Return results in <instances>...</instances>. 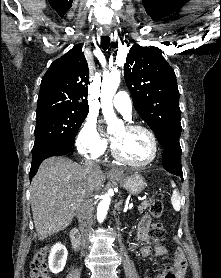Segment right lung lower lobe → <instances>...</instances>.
Segmentation results:
<instances>
[{"label":"right lung lower lobe","instance_id":"right-lung-lower-lobe-1","mask_svg":"<svg viewBox=\"0 0 221 278\" xmlns=\"http://www.w3.org/2000/svg\"><path fill=\"white\" fill-rule=\"evenodd\" d=\"M74 143L66 140H55L43 144L42 146L32 150V163L29 173L30 181L36 174L41 162L51 156L64 155L71 151Z\"/></svg>","mask_w":221,"mask_h":278}]
</instances>
